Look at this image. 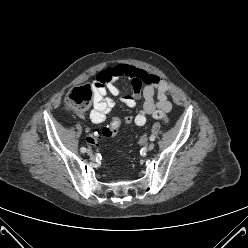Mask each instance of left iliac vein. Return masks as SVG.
Wrapping results in <instances>:
<instances>
[{
	"instance_id": "1",
	"label": "left iliac vein",
	"mask_w": 248,
	"mask_h": 248,
	"mask_svg": "<svg viewBox=\"0 0 248 248\" xmlns=\"http://www.w3.org/2000/svg\"><path fill=\"white\" fill-rule=\"evenodd\" d=\"M154 143H150L149 145H148V151H152L153 149H154Z\"/></svg>"
}]
</instances>
